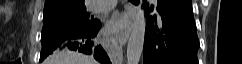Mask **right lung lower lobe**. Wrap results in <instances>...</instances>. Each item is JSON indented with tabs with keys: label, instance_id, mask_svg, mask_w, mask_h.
Here are the masks:
<instances>
[{
	"label": "right lung lower lobe",
	"instance_id": "1",
	"mask_svg": "<svg viewBox=\"0 0 242 64\" xmlns=\"http://www.w3.org/2000/svg\"><path fill=\"white\" fill-rule=\"evenodd\" d=\"M101 24L95 29L69 38L60 39L49 44L41 51L40 61L42 62L49 54L56 49H69L79 51L88 55H94V58L101 64H111L110 59L101 45L95 43L94 38L98 33Z\"/></svg>",
	"mask_w": 242,
	"mask_h": 64
}]
</instances>
